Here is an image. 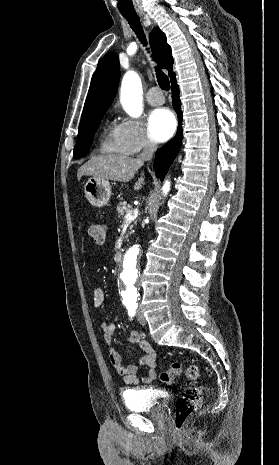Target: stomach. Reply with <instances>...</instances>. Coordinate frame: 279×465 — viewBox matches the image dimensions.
<instances>
[{"instance_id": "0dacf381", "label": "stomach", "mask_w": 279, "mask_h": 465, "mask_svg": "<svg viewBox=\"0 0 279 465\" xmlns=\"http://www.w3.org/2000/svg\"><path fill=\"white\" fill-rule=\"evenodd\" d=\"M86 199L94 207L105 206L111 196V186L108 180L91 177L84 185Z\"/></svg>"}]
</instances>
